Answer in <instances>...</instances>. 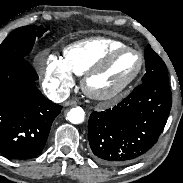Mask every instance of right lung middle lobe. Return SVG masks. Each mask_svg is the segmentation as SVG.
I'll use <instances>...</instances> for the list:
<instances>
[{
  "label": "right lung middle lobe",
  "mask_w": 183,
  "mask_h": 183,
  "mask_svg": "<svg viewBox=\"0 0 183 183\" xmlns=\"http://www.w3.org/2000/svg\"><path fill=\"white\" fill-rule=\"evenodd\" d=\"M47 29L42 26H24L15 29L0 44V63L26 59L37 38Z\"/></svg>",
  "instance_id": "right-lung-middle-lobe-1"
}]
</instances>
